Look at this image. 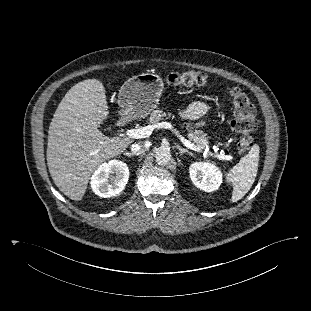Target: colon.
Here are the masks:
<instances>
[{"label":"colon","mask_w":311,"mask_h":311,"mask_svg":"<svg viewBox=\"0 0 311 311\" xmlns=\"http://www.w3.org/2000/svg\"><path fill=\"white\" fill-rule=\"evenodd\" d=\"M167 81L175 87L202 86L209 83L208 77L199 71L172 73ZM230 97L233 104L231 127L238 134L234 146L238 152H246L253 146L252 132L258 127L256 108L249 96L240 88H232Z\"/></svg>","instance_id":"5ec220e1"}]
</instances>
